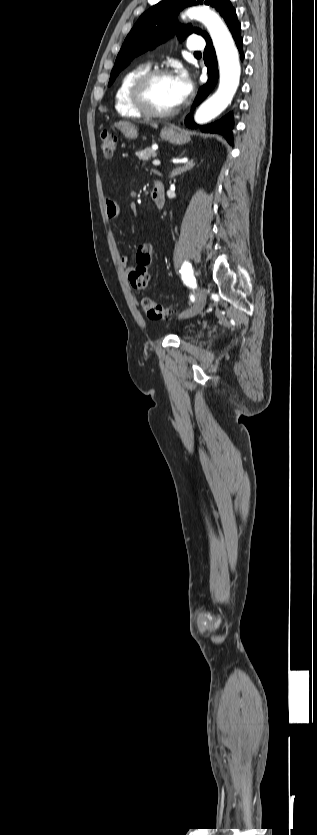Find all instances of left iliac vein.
Returning <instances> with one entry per match:
<instances>
[{
	"mask_svg": "<svg viewBox=\"0 0 317 835\" xmlns=\"http://www.w3.org/2000/svg\"><path fill=\"white\" fill-rule=\"evenodd\" d=\"M207 296V289L201 288L197 292L195 304L188 310L184 311L180 317L181 318H189L199 314L205 306Z\"/></svg>",
	"mask_w": 317,
	"mask_h": 835,
	"instance_id": "left-iliac-vein-1",
	"label": "left iliac vein"
}]
</instances>
